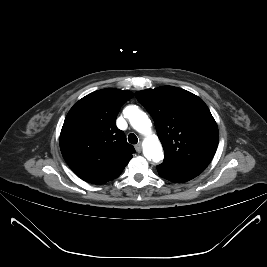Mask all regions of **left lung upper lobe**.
Here are the masks:
<instances>
[{"label":"left lung upper lobe","instance_id":"5c2ea615","mask_svg":"<svg viewBox=\"0 0 267 267\" xmlns=\"http://www.w3.org/2000/svg\"><path fill=\"white\" fill-rule=\"evenodd\" d=\"M152 116L165 158L162 164L198 176L218 145V127L198 96L173 86L135 93Z\"/></svg>","mask_w":267,"mask_h":267}]
</instances>
